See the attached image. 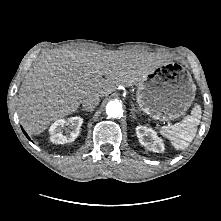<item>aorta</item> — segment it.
Segmentation results:
<instances>
[{
  "mask_svg": "<svg viewBox=\"0 0 221 221\" xmlns=\"http://www.w3.org/2000/svg\"><path fill=\"white\" fill-rule=\"evenodd\" d=\"M106 113L111 118H118L123 115L121 103L118 101H110L106 106Z\"/></svg>",
  "mask_w": 221,
  "mask_h": 221,
  "instance_id": "762f6f07",
  "label": "aorta"
}]
</instances>
